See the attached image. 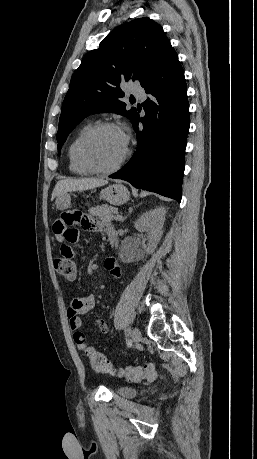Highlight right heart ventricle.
<instances>
[{"label":"right heart ventricle","mask_w":257,"mask_h":459,"mask_svg":"<svg viewBox=\"0 0 257 459\" xmlns=\"http://www.w3.org/2000/svg\"><path fill=\"white\" fill-rule=\"evenodd\" d=\"M91 127L90 124H86L79 129L76 133L72 141L70 142L67 150V157H68V166L69 170L76 175L79 176H86L91 174L92 172L84 168L78 161L76 150L77 145L81 137L86 133V131Z\"/></svg>","instance_id":"1"}]
</instances>
